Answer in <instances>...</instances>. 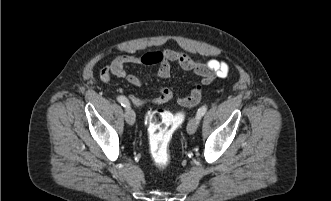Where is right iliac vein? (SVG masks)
<instances>
[{"label": "right iliac vein", "mask_w": 331, "mask_h": 201, "mask_svg": "<svg viewBox=\"0 0 331 201\" xmlns=\"http://www.w3.org/2000/svg\"><path fill=\"white\" fill-rule=\"evenodd\" d=\"M135 113L134 111L130 108L127 107L125 110V120L129 125H133L135 123Z\"/></svg>", "instance_id": "right-iliac-vein-1"}]
</instances>
